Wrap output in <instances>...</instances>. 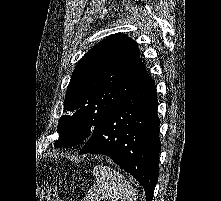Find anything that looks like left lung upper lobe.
Returning <instances> with one entry per match:
<instances>
[{"label": "left lung upper lobe", "instance_id": "5c2ea615", "mask_svg": "<svg viewBox=\"0 0 221 201\" xmlns=\"http://www.w3.org/2000/svg\"><path fill=\"white\" fill-rule=\"evenodd\" d=\"M149 78L136 43L128 36L118 33L96 44L74 69L54 146L85 142L112 108Z\"/></svg>", "mask_w": 221, "mask_h": 201}]
</instances>
